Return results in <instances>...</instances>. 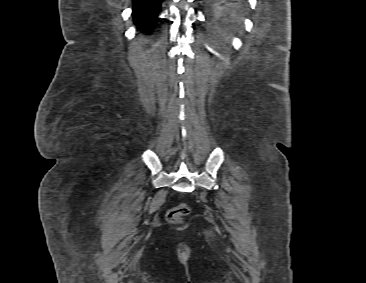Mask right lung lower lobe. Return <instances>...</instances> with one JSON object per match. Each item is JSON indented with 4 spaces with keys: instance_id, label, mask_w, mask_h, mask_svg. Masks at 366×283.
<instances>
[{
    "instance_id": "right-lung-lower-lobe-1",
    "label": "right lung lower lobe",
    "mask_w": 366,
    "mask_h": 283,
    "mask_svg": "<svg viewBox=\"0 0 366 283\" xmlns=\"http://www.w3.org/2000/svg\"><path fill=\"white\" fill-rule=\"evenodd\" d=\"M162 0H133V19L139 29L150 31L157 20Z\"/></svg>"
}]
</instances>
